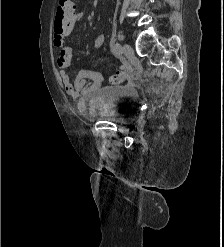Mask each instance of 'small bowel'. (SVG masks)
<instances>
[{"mask_svg": "<svg viewBox=\"0 0 224 247\" xmlns=\"http://www.w3.org/2000/svg\"><path fill=\"white\" fill-rule=\"evenodd\" d=\"M81 18L82 13L75 14V22ZM103 42L104 35L98 36L95 40V47L99 48ZM53 44L59 50L57 67L64 89L70 98L77 100L100 89L104 78L103 75L97 71L81 70L76 74L74 80H71L67 73V68L71 64L73 51L72 48L66 44V35L55 32Z\"/></svg>", "mask_w": 224, "mask_h": 247, "instance_id": "small-bowel-1", "label": "small bowel"}]
</instances>
